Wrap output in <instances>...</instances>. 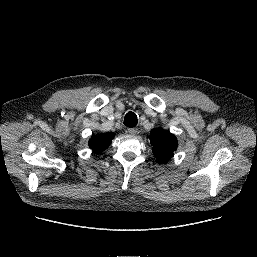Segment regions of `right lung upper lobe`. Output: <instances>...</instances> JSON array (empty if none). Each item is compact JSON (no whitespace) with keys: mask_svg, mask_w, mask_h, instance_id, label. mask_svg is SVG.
<instances>
[{"mask_svg":"<svg viewBox=\"0 0 257 257\" xmlns=\"http://www.w3.org/2000/svg\"><path fill=\"white\" fill-rule=\"evenodd\" d=\"M113 138L114 135L112 133H104L97 136L95 135L91 137L89 146L92 150L99 154L109 146Z\"/></svg>","mask_w":257,"mask_h":257,"instance_id":"obj_1","label":"right lung upper lobe"}]
</instances>
